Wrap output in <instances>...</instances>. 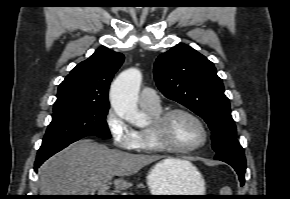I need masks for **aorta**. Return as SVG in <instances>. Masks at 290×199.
Instances as JSON below:
<instances>
[{
  "mask_svg": "<svg viewBox=\"0 0 290 199\" xmlns=\"http://www.w3.org/2000/svg\"><path fill=\"white\" fill-rule=\"evenodd\" d=\"M141 81V72L136 68H130L123 71L114 80L110 90L111 105L115 112L138 127L148 124L147 115L140 111L137 106Z\"/></svg>",
  "mask_w": 290,
  "mask_h": 199,
  "instance_id": "762f6f07",
  "label": "aorta"
}]
</instances>
